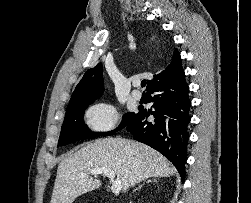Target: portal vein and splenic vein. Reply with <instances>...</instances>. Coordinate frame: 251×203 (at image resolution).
<instances>
[{
    "label": "portal vein and splenic vein",
    "instance_id": "18ae733b",
    "mask_svg": "<svg viewBox=\"0 0 251 203\" xmlns=\"http://www.w3.org/2000/svg\"><path fill=\"white\" fill-rule=\"evenodd\" d=\"M91 175H98V174H105L111 181V191L114 194H118L121 190V183L118 180H114L115 173L112 169L102 167V168H95L90 171ZM86 174H82L81 177H85Z\"/></svg>",
    "mask_w": 251,
    "mask_h": 203
}]
</instances>
